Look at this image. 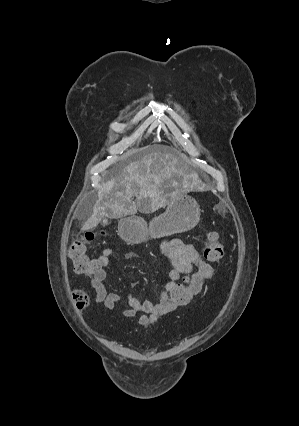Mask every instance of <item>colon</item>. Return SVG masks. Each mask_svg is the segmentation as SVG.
<instances>
[{
	"label": "colon",
	"mask_w": 299,
	"mask_h": 426,
	"mask_svg": "<svg viewBox=\"0 0 299 426\" xmlns=\"http://www.w3.org/2000/svg\"><path fill=\"white\" fill-rule=\"evenodd\" d=\"M96 237L97 234L88 232L74 239L69 246L68 257L73 263L74 270L79 274L94 276L100 270L98 261L87 254V246ZM204 255L209 261H219L223 257L224 248L216 231L207 232L204 239ZM72 296L78 309L87 307L89 296L86 291L76 289ZM191 300V280L187 277L183 282H178L165 296V303L169 308L182 307L189 304Z\"/></svg>",
	"instance_id": "1"
}]
</instances>
